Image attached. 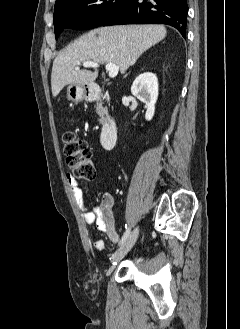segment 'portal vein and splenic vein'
Segmentation results:
<instances>
[{"mask_svg":"<svg viewBox=\"0 0 240 329\" xmlns=\"http://www.w3.org/2000/svg\"><path fill=\"white\" fill-rule=\"evenodd\" d=\"M83 67L88 68V67H93L97 68L99 67V64L96 62H91V61H86L83 63ZM106 70L108 71L109 77L114 78L117 76L119 67L115 65L114 63H108L105 65ZM79 67H76L75 70H79Z\"/></svg>","mask_w":240,"mask_h":329,"instance_id":"portal-vein-and-splenic-vein-1","label":"portal vein and splenic vein"}]
</instances>
